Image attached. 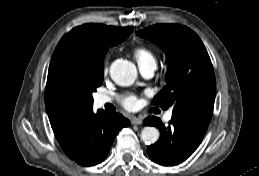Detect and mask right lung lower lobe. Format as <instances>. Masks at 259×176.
<instances>
[{
	"mask_svg": "<svg viewBox=\"0 0 259 176\" xmlns=\"http://www.w3.org/2000/svg\"><path fill=\"white\" fill-rule=\"evenodd\" d=\"M130 121L116 112L93 111L71 124L56 138L65 154L83 166H92L105 159L117 132Z\"/></svg>",
	"mask_w": 259,
	"mask_h": 176,
	"instance_id": "obj_1",
	"label": "right lung lower lobe"
}]
</instances>
